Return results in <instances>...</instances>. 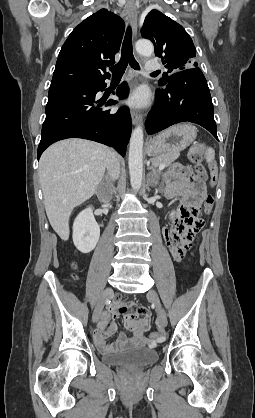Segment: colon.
Returning <instances> with one entry per match:
<instances>
[{
	"label": "colon",
	"instance_id": "5ec220e1",
	"mask_svg": "<svg viewBox=\"0 0 255 418\" xmlns=\"http://www.w3.org/2000/svg\"><path fill=\"white\" fill-rule=\"evenodd\" d=\"M203 150L202 145H197L192 148L190 151L189 157L192 163L195 165L198 175L202 178L208 177V172L203 163ZM216 180V173L212 172L210 175V184H214ZM214 199L211 195H207L204 200V211L206 213L210 212L213 207ZM204 225L203 219L199 215V210L192 208L188 211L187 216L176 223L173 228H197L198 232L202 229ZM195 242H198V239H195ZM196 248L195 246L193 247ZM190 249H188L189 251ZM190 256H195V251H190ZM162 335L158 332H154L149 336V341L151 344H157L161 341Z\"/></svg>",
	"mask_w": 255,
	"mask_h": 418
}]
</instances>
